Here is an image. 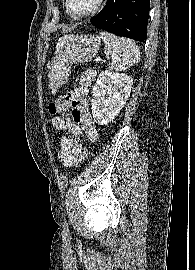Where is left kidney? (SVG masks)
<instances>
[{"mask_svg":"<svg viewBox=\"0 0 195 270\" xmlns=\"http://www.w3.org/2000/svg\"><path fill=\"white\" fill-rule=\"evenodd\" d=\"M133 79L124 74L102 71L93 87L92 115L98 125H106L120 112L128 99Z\"/></svg>","mask_w":195,"mask_h":270,"instance_id":"1","label":"left kidney"}]
</instances>
